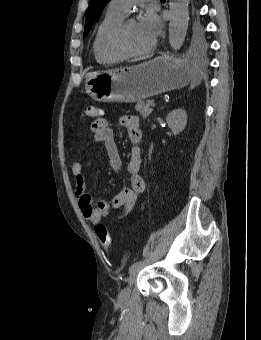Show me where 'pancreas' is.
Returning <instances> with one entry per match:
<instances>
[{
  "label": "pancreas",
  "instance_id": "cf45deb5",
  "mask_svg": "<svg viewBox=\"0 0 261 340\" xmlns=\"http://www.w3.org/2000/svg\"><path fill=\"white\" fill-rule=\"evenodd\" d=\"M153 103V100H147V101H138V103L135 106V110L139 112V114L143 118H147L153 111L152 108H150V105Z\"/></svg>",
  "mask_w": 261,
  "mask_h": 340
}]
</instances>
